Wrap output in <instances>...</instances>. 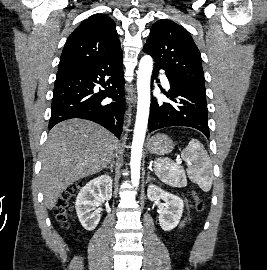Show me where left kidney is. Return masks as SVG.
<instances>
[{"mask_svg":"<svg viewBox=\"0 0 267 270\" xmlns=\"http://www.w3.org/2000/svg\"><path fill=\"white\" fill-rule=\"evenodd\" d=\"M147 196L150 201L162 199L165 202L164 209L159 215V224L164 231L173 230L179 224L182 217L183 200L153 184L148 186Z\"/></svg>","mask_w":267,"mask_h":270,"instance_id":"1","label":"left kidney"}]
</instances>
